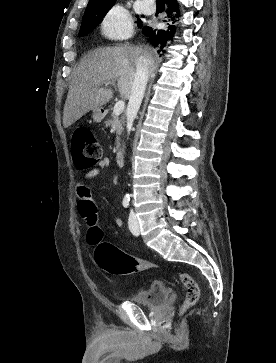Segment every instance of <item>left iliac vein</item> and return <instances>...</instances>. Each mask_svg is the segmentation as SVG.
Instances as JSON below:
<instances>
[{
  "label": "left iliac vein",
  "instance_id": "1",
  "mask_svg": "<svg viewBox=\"0 0 276 363\" xmlns=\"http://www.w3.org/2000/svg\"><path fill=\"white\" fill-rule=\"evenodd\" d=\"M128 225L131 233L135 236H138L140 232L139 221L133 210L130 212Z\"/></svg>",
  "mask_w": 276,
  "mask_h": 363
}]
</instances>
